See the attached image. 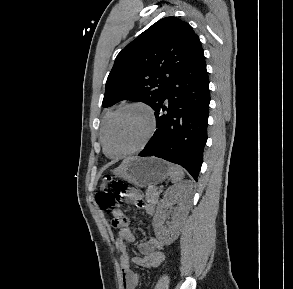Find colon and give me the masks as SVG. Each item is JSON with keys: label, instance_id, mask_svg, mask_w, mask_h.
I'll return each mask as SVG.
<instances>
[{"label": "colon", "instance_id": "5ec220e1", "mask_svg": "<svg viewBox=\"0 0 293 289\" xmlns=\"http://www.w3.org/2000/svg\"><path fill=\"white\" fill-rule=\"evenodd\" d=\"M129 190L130 188L125 183L107 176L103 179V188L97 193L96 201L103 211L112 212L117 207L122 196ZM123 222L115 219L112 223L115 227H119Z\"/></svg>", "mask_w": 293, "mask_h": 289}]
</instances>
